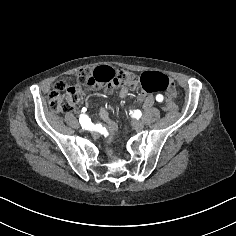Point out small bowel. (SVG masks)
Masks as SVG:
<instances>
[{
  "label": "small bowel",
  "instance_id": "c3829d8e",
  "mask_svg": "<svg viewBox=\"0 0 236 236\" xmlns=\"http://www.w3.org/2000/svg\"><path fill=\"white\" fill-rule=\"evenodd\" d=\"M131 88H134L131 87ZM130 91V87H122L121 90H120V97H126L128 95ZM141 100L144 102V106L145 107H150L153 105L154 103V98L150 95L146 96V95H143L141 97ZM100 116L103 120V126H104V129H105V134L108 135L110 132H115L117 127H116V124L115 122H113L110 117H109V114H108V111L105 109V108H101L100 110Z\"/></svg>",
  "mask_w": 236,
  "mask_h": 236
}]
</instances>
